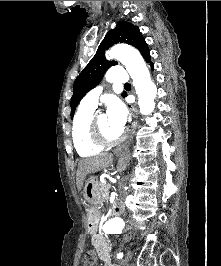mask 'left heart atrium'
I'll return each instance as SVG.
<instances>
[{"label":"left heart atrium","instance_id":"left-heart-atrium-1","mask_svg":"<svg viewBox=\"0 0 221 266\" xmlns=\"http://www.w3.org/2000/svg\"><path fill=\"white\" fill-rule=\"evenodd\" d=\"M107 118L116 128L123 130L127 121V110L118 99H111L107 104Z\"/></svg>","mask_w":221,"mask_h":266}]
</instances>
